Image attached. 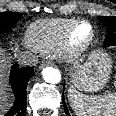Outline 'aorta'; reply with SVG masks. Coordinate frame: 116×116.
<instances>
[{
  "mask_svg": "<svg viewBox=\"0 0 116 116\" xmlns=\"http://www.w3.org/2000/svg\"><path fill=\"white\" fill-rule=\"evenodd\" d=\"M44 80L50 84H57L61 80V74L58 69L46 67L42 70Z\"/></svg>",
  "mask_w": 116,
  "mask_h": 116,
  "instance_id": "762f6f07",
  "label": "aorta"
}]
</instances>
